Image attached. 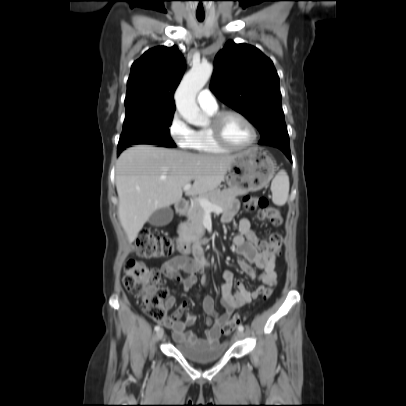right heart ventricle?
<instances>
[{"label": "right heart ventricle", "instance_id": "obj_1", "mask_svg": "<svg viewBox=\"0 0 406 406\" xmlns=\"http://www.w3.org/2000/svg\"><path fill=\"white\" fill-rule=\"evenodd\" d=\"M209 117L217 113V109H204ZM188 148L200 153H224L229 150L219 146L213 139L208 126L201 127L194 131L193 138Z\"/></svg>", "mask_w": 406, "mask_h": 406}]
</instances>
